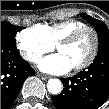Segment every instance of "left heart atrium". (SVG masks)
Listing matches in <instances>:
<instances>
[{"label":"left heart atrium","mask_w":109,"mask_h":109,"mask_svg":"<svg viewBox=\"0 0 109 109\" xmlns=\"http://www.w3.org/2000/svg\"><path fill=\"white\" fill-rule=\"evenodd\" d=\"M38 67L44 72L56 75L64 74L72 68L68 60L61 53L43 58L39 62Z\"/></svg>","instance_id":"left-heart-atrium-1"}]
</instances>
